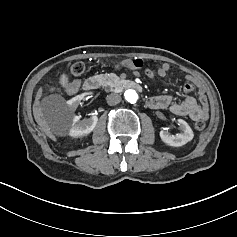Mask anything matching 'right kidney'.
<instances>
[{
	"label": "right kidney",
	"mask_w": 237,
	"mask_h": 237,
	"mask_svg": "<svg viewBox=\"0 0 237 237\" xmlns=\"http://www.w3.org/2000/svg\"><path fill=\"white\" fill-rule=\"evenodd\" d=\"M90 94L91 92L77 95L73 97L72 99H70L68 101V104L70 105L72 110L75 111L77 107L79 106V104L81 103V100L86 95H90ZM80 118L81 116H77V115L73 117L72 126L69 131V135L71 137H81V136L89 134L90 132H92V130L95 128L98 122V117L95 115L83 120H81Z\"/></svg>",
	"instance_id": "ca27d5eb"
}]
</instances>
